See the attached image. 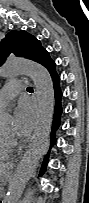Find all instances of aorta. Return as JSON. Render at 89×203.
<instances>
[{"instance_id": "762f6f07", "label": "aorta", "mask_w": 89, "mask_h": 203, "mask_svg": "<svg viewBox=\"0 0 89 203\" xmlns=\"http://www.w3.org/2000/svg\"><path fill=\"white\" fill-rule=\"evenodd\" d=\"M18 75H28L32 78L38 95V113L29 149L9 182L4 203H19L27 182L48 146L54 112V88L49 71L31 60L19 58L7 60L1 69V76L11 78ZM11 122V114L1 111V127Z\"/></svg>"}]
</instances>
